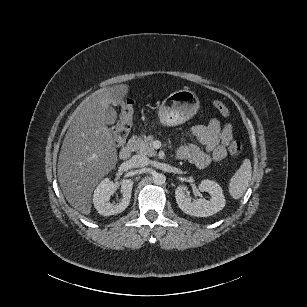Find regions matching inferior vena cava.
Instances as JSON below:
<instances>
[{
	"mask_svg": "<svg viewBox=\"0 0 307 307\" xmlns=\"http://www.w3.org/2000/svg\"><path fill=\"white\" fill-rule=\"evenodd\" d=\"M131 162L136 167H144V166L148 165L149 159H148V157H146L144 155L136 154V155L132 156Z\"/></svg>",
	"mask_w": 307,
	"mask_h": 307,
	"instance_id": "inferior-vena-cava-1",
	"label": "inferior vena cava"
}]
</instances>
